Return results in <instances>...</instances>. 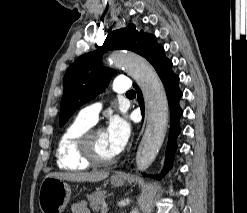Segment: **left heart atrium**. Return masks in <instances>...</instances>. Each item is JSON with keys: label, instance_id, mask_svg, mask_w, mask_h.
<instances>
[{"label": "left heart atrium", "instance_id": "1", "mask_svg": "<svg viewBox=\"0 0 247 213\" xmlns=\"http://www.w3.org/2000/svg\"><path fill=\"white\" fill-rule=\"evenodd\" d=\"M130 136L129 123L120 116H113L106 129V138L114 155L119 154L126 146Z\"/></svg>", "mask_w": 247, "mask_h": 213}]
</instances>
